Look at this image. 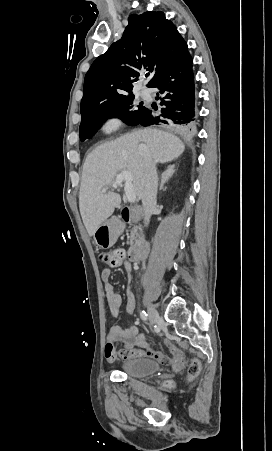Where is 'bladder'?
Here are the masks:
<instances>
[{"label":"bladder","instance_id":"bladder-1","mask_svg":"<svg viewBox=\"0 0 272 451\" xmlns=\"http://www.w3.org/2000/svg\"><path fill=\"white\" fill-rule=\"evenodd\" d=\"M160 364L148 357L127 358L119 364V370L128 377H146L157 374Z\"/></svg>","mask_w":272,"mask_h":451}]
</instances>
